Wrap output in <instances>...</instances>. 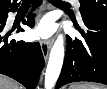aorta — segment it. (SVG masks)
Masks as SVG:
<instances>
[{
    "mask_svg": "<svg viewBox=\"0 0 107 89\" xmlns=\"http://www.w3.org/2000/svg\"><path fill=\"white\" fill-rule=\"evenodd\" d=\"M64 60L63 35H59L51 49L50 57L45 73V89H52L60 75Z\"/></svg>",
    "mask_w": 107,
    "mask_h": 89,
    "instance_id": "aorta-1",
    "label": "aorta"
}]
</instances>
